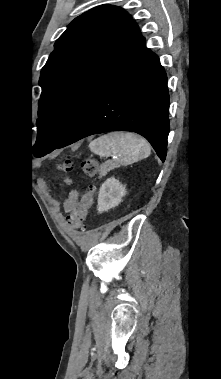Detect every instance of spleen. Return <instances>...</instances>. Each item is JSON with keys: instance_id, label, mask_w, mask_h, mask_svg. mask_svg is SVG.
Masks as SVG:
<instances>
[{"instance_id": "spleen-1", "label": "spleen", "mask_w": 221, "mask_h": 379, "mask_svg": "<svg viewBox=\"0 0 221 379\" xmlns=\"http://www.w3.org/2000/svg\"><path fill=\"white\" fill-rule=\"evenodd\" d=\"M91 152L100 157L116 156L120 165H130L147 158L151 153L149 143L132 133L112 132L93 140L89 144Z\"/></svg>"}]
</instances>
